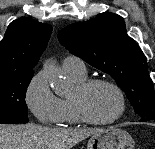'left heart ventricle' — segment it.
Returning <instances> with one entry per match:
<instances>
[{"label":"left heart ventricle","instance_id":"b2bd125f","mask_svg":"<svg viewBox=\"0 0 155 149\" xmlns=\"http://www.w3.org/2000/svg\"><path fill=\"white\" fill-rule=\"evenodd\" d=\"M78 95L77 89L73 97ZM87 112L96 120L113 118L119 110V98L116 92L107 85H97L89 90L83 97Z\"/></svg>","mask_w":155,"mask_h":149}]
</instances>
